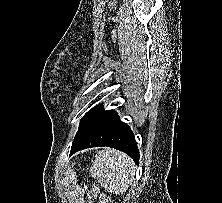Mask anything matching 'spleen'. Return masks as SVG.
<instances>
[{
    "instance_id": "3e777b00",
    "label": "spleen",
    "mask_w": 222,
    "mask_h": 203,
    "mask_svg": "<svg viewBox=\"0 0 222 203\" xmlns=\"http://www.w3.org/2000/svg\"><path fill=\"white\" fill-rule=\"evenodd\" d=\"M136 169L133 160L126 154L104 148L96 154L90 173L107 190L123 193L135 181Z\"/></svg>"
}]
</instances>
